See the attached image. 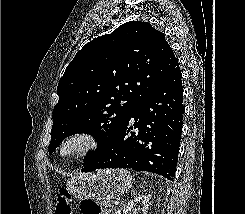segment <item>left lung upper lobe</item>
I'll return each mask as SVG.
<instances>
[{
    "mask_svg": "<svg viewBox=\"0 0 245 214\" xmlns=\"http://www.w3.org/2000/svg\"><path fill=\"white\" fill-rule=\"evenodd\" d=\"M177 65L164 34L148 22L124 23L85 44L57 87L49 154L66 137L86 133L98 143L86 163L115 139L141 100Z\"/></svg>",
    "mask_w": 245,
    "mask_h": 214,
    "instance_id": "1",
    "label": "left lung upper lobe"
}]
</instances>
